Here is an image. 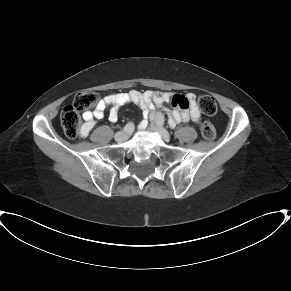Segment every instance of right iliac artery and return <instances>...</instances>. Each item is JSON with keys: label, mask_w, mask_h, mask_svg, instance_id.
I'll list each match as a JSON object with an SVG mask.
<instances>
[{"label": "right iliac artery", "mask_w": 291, "mask_h": 291, "mask_svg": "<svg viewBox=\"0 0 291 291\" xmlns=\"http://www.w3.org/2000/svg\"><path fill=\"white\" fill-rule=\"evenodd\" d=\"M133 129H134V124L132 122L127 123L123 128V130L128 133L131 132Z\"/></svg>", "instance_id": "right-iliac-artery-1"}]
</instances>
